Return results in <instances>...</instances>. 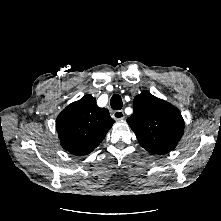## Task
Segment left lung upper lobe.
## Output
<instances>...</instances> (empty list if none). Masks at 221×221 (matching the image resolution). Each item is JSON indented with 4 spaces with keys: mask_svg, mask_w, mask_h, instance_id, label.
Masks as SVG:
<instances>
[{
    "mask_svg": "<svg viewBox=\"0 0 221 221\" xmlns=\"http://www.w3.org/2000/svg\"><path fill=\"white\" fill-rule=\"evenodd\" d=\"M134 112L127 119L140 145L150 153L173 150L184 132V120L172 104L143 91L134 98Z\"/></svg>",
    "mask_w": 221,
    "mask_h": 221,
    "instance_id": "1",
    "label": "left lung upper lobe"
}]
</instances>
